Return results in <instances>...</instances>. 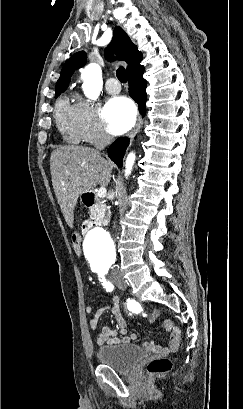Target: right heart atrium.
Here are the masks:
<instances>
[{
  "mask_svg": "<svg viewBox=\"0 0 243 409\" xmlns=\"http://www.w3.org/2000/svg\"><path fill=\"white\" fill-rule=\"evenodd\" d=\"M75 124L80 140L87 143H103L109 140L97 108L88 100L80 98L75 104Z\"/></svg>",
  "mask_w": 243,
  "mask_h": 409,
  "instance_id": "obj_1",
  "label": "right heart atrium"
}]
</instances>
